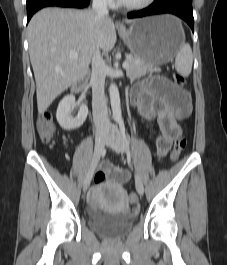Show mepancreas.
Wrapping results in <instances>:
<instances>
[{
    "mask_svg": "<svg viewBox=\"0 0 227 265\" xmlns=\"http://www.w3.org/2000/svg\"><path fill=\"white\" fill-rule=\"evenodd\" d=\"M126 61L129 64L128 68L126 69V74L132 80L140 78L147 72H160L158 67L146 64L136 57H130Z\"/></svg>",
    "mask_w": 227,
    "mask_h": 265,
    "instance_id": "pancreas-1",
    "label": "pancreas"
}]
</instances>
